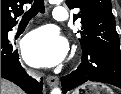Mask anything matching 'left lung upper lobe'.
<instances>
[{
    "instance_id": "obj_1",
    "label": "left lung upper lobe",
    "mask_w": 121,
    "mask_h": 94,
    "mask_svg": "<svg viewBox=\"0 0 121 94\" xmlns=\"http://www.w3.org/2000/svg\"><path fill=\"white\" fill-rule=\"evenodd\" d=\"M67 6L79 8L74 20L81 19L82 49L109 47L120 49L119 35L115 29V19L110 0H66Z\"/></svg>"
}]
</instances>
